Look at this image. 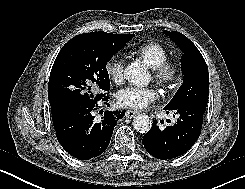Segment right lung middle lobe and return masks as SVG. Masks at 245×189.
Returning <instances> with one entry per match:
<instances>
[{
	"instance_id": "1",
	"label": "right lung middle lobe",
	"mask_w": 245,
	"mask_h": 189,
	"mask_svg": "<svg viewBox=\"0 0 245 189\" xmlns=\"http://www.w3.org/2000/svg\"><path fill=\"white\" fill-rule=\"evenodd\" d=\"M124 45L86 33L69 40L56 57L50 73V105L93 98L94 89L109 91L106 65Z\"/></svg>"
}]
</instances>
